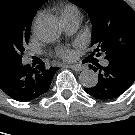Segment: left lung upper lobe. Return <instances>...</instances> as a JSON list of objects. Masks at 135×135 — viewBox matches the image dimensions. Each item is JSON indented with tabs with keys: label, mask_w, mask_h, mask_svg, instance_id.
Returning a JSON list of instances; mask_svg holds the SVG:
<instances>
[{
	"label": "left lung upper lobe",
	"mask_w": 135,
	"mask_h": 135,
	"mask_svg": "<svg viewBox=\"0 0 135 135\" xmlns=\"http://www.w3.org/2000/svg\"><path fill=\"white\" fill-rule=\"evenodd\" d=\"M86 10L92 22L91 54L135 63V11L123 0H70Z\"/></svg>",
	"instance_id": "1"
}]
</instances>
